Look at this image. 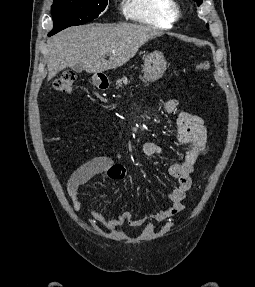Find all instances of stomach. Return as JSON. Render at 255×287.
<instances>
[{"instance_id":"obj_1","label":"stomach","mask_w":255,"mask_h":287,"mask_svg":"<svg viewBox=\"0 0 255 287\" xmlns=\"http://www.w3.org/2000/svg\"><path fill=\"white\" fill-rule=\"evenodd\" d=\"M166 70V60L162 52H151L144 58V78L143 82H155L162 78ZM94 86H97L95 78H93Z\"/></svg>"}]
</instances>
